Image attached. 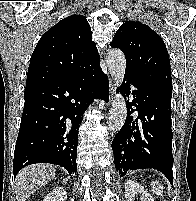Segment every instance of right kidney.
<instances>
[{
  "label": "right kidney",
  "mask_w": 196,
  "mask_h": 201,
  "mask_svg": "<svg viewBox=\"0 0 196 201\" xmlns=\"http://www.w3.org/2000/svg\"><path fill=\"white\" fill-rule=\"evenodd\" d=\"M67 199V192L63 187L54 188L49 194L45 196L43 201H65Z\"/></svg>",
  "instance_id": "1"
}]
</instances>
